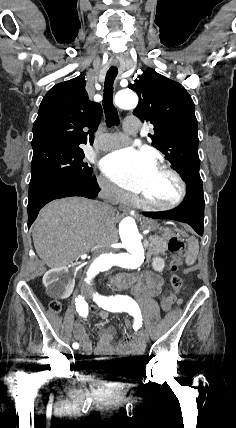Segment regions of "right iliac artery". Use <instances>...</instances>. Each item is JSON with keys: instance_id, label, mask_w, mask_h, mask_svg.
Here are the masks:
<instances>
[{"instance_id": "82829eb1", "label": "right iliac artery", "mask_w": 236, "mask_h": 428, "mask_svg": "<svg viewBox=\"0 0 236 428\" xmlns=\"http://www.w3.org/2000/svg\"><path fill=\"white\" fill-rule=\"evenodd\" d=\"M75 305H76V311L79 313V315L80 316H82V317H87V315H88V304H87V302L84 300V297H82V296H78L76 299H75ZM73 348L74 349H78L79 348V344L76 342V343H73Z\"/></svg>"}]
</instances>
